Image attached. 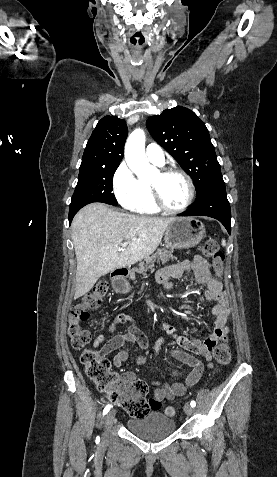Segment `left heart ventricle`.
<instances>
[{
  "instance_id": "left-heart-ventricle-1",
  "label": "left heart ventricle",
  "mask_w": 277,
  "mask_h": 477,
  "mask_svg": "<svg viewBox=\"0 0 277 477\" xmlns=\"http://www.w3.org/2000/svg\"><path fill=\"white\" fill-rule=\"evenodd\" d=\"M158 186L164 203L170 208L182 206L188 196V186L185 179L177 174L161 176L156 173L151 180Z\"/></svg>"
}]
</instances>
